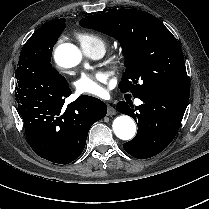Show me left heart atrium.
Returning <instances> with one entry per match:
<instances>
[{"instance_id": "39dd6f15", "label": "left heart atrium", "mask_w": 209, "mask_h": 209, "mask_svg": "<svg viewBox=\"0 0 209 209\" xmlns=\"http://www.w3.org/2000/svg\"><path fill=\"white\" fill-rule=\"evenodd\" d=\"M102 83H104V79L101 76L84 73L76 80L75 87L77 92L81 95L101 98L105 95Z\"/></svg>"}]
</instances>
